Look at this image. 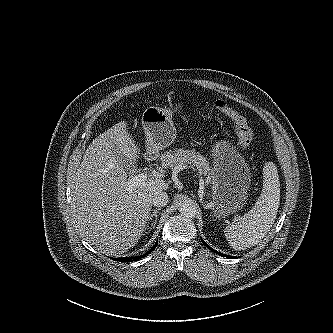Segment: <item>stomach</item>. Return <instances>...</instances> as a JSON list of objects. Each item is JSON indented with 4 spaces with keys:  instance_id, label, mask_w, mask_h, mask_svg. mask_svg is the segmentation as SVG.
Listing matches in <instances>:
<instances>
[{
    "instance_id": "0dacf381",
    "label": "stomach",
    "mask_w": 333,
    "mask_h": 333,
    "mask_svg": "<svg viewBox=\"0 0 333 333\" xmlns=\"http://www.w3.org/2000/svg\"><path fill=\"white\" fill-rule=\"evenodd\" d=\"M181 110L177 104L175 110ZM147 154H155L170 146L176 137L172 111L149 107L142 115ZM213 159L212 204L215 218H224L241 209L247 201L250 170L244 158L227 140L216 142L211 150Z\"/></svg>"
}]
</instances>
